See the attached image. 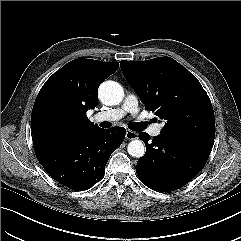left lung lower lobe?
I'll list each match as a JSON object with an SVG mask.
<instances>
[{
    "label": "left lung lower lobe",
    "instance_id": "1",
    "mask_svg": "<svg viewBox=\"0 0 241 241\" xmlns=\"http://www.w3.org/2000/svg\"><path fill=\"white\" fill-rule=\"evenodd\" d=\"M139 138L146 153L138 159L136 172L150 189L168 192L181 188L204 167L212 144L186 137L160 133L152 141L148 133Z\"/></svg>",
    "mask_w": 241,
    "mask_h": 241
}]
</instances>
